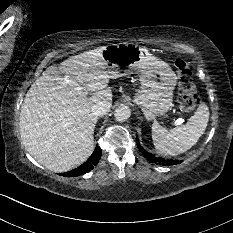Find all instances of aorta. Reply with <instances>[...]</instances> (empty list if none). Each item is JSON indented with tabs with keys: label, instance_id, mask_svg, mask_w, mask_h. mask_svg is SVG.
<instances>
[{
	"label": "aorta",
	"instance_id": "762f6f07",
	"mask_svg": "<svg viewBox=\"0 0 233 233\" xmlns=\"http://www.w3.org/2000/svg\"><path fill=\"white\" fill-rule=\"evenodd\" d=\"M131 115L130 108L128 106H119L116 108L114 116L117 121H125Z\"/></svg>",
	"mask_w": 233,
	"mask_h": 233
}]
</instances>
